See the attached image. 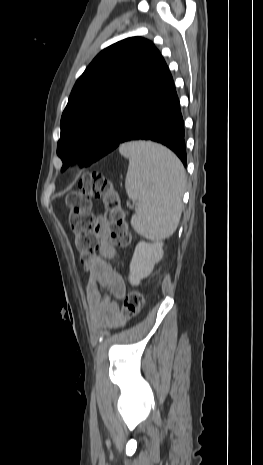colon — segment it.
<instances>
[{
    "mask_svg": "<svg viewBox=\"0 0 263 465\" xmlns=\"http://www.w3.org/2000/svg\"><path fill=\"white\" fill-rule=\"evenodd\" d=\"M102 199L106 212L96 218L90 211L91 201ZM69 207L68 224L75 236V246L85 266L93 263L99 245L97 229L103 225L112 243L127 247L131 242L119 195L113 183L102 173L90 172L83 175L79 188L66 197ZM144 295L139 290L129 292L122 304L121 317H134L142 308Z\"/></svg>",
    "mask_w": 263,
    "mask_h": 465,
    "instance_id": "5ec220e1",
    "label": "colon"
}]
</instances>
